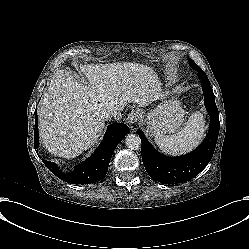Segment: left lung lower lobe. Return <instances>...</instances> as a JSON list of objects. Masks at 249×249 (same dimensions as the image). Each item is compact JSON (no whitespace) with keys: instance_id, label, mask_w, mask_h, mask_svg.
Here are the masks:
<instances>
[{"instance_id":"obj_1","label":"left lung lower lobe","mask_w":249,"mask_h":249,"mask_svg":"<svg viewBox=\"0 0 249 249\" xmlns=\"http://www.w3.org/2000/svg\"><path fill=\"white\" fill-rule=\"evenodd\" d=\"M201 79L205 96L204 103L210 114L211 121L205 140L196 150L179 157H166L158 153L148 142L143 132L138 130V135L142 142L143 164L154 181L166 184L185 182L198 175L213 156L220 127L219 112L208 78Z\"/></svg>"}]
</instances>
